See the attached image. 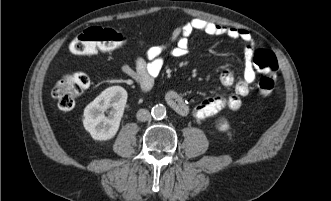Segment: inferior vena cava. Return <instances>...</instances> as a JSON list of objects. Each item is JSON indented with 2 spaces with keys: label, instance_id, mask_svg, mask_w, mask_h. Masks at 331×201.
I'll return each instance as SVG.
<instances>
[{
  "label": "inferior vena cava",
  "instance_id": "inferior-vena-cava-1",
  "mask_svg": "<svg viewBox=\"0 0 331 201\" xmlns=\"http://www.w3.org/2000/svg\"><path fill=\"white\" fill-rule=\"evenodd\" d=\"M136 117L139 121L145 122L151 119V114L147 109H139Z\"/></svg>",
  "mask_w": 331,
  "mask_h": 201
}]
</instances>
